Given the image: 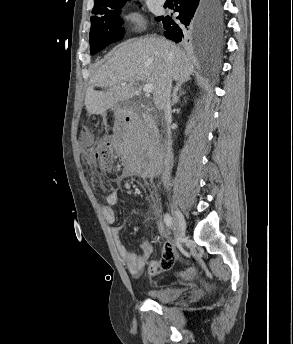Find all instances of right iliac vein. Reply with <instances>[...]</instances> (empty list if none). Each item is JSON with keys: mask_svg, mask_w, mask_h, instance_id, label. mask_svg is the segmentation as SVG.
<instances>
[{"mask_svg": "<svg viewBox=\"0 0 293 344\" xmlns=\"http://www.w3.org/2000/svg\"><path fill=\"white\" fill-rule=\"evenodd\" d=\"M172 211L174 215V223L179 236L184 237L186 234V222L180 210L172 206Z\"/></svg>", "mask_w": 293, "mask_h": 344, "instance_id": "obj_1", "label": "right iliac vein"}]
</instances>
